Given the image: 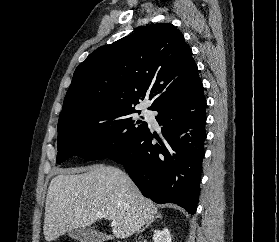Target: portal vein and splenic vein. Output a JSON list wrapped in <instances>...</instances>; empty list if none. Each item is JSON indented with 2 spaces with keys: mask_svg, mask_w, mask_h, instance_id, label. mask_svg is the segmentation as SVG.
<instances>
[{
  "mask_svg": "<svg viewBox=\"0 0 279 242\" xmlns=\"http://www.w3.org/2000/svg\"><path fill=\"white\" fill-rule=\"evenodd\" d=\"M97 217L100 218V219H102V218H104V215H103L102 213H98V214H97ZM111 225H112V226H115V225H116V221L113 220V221L111 222Z\"/></svg>",
  "mask_w": 279,
  "mask_h": 242,
  "instance_id": "1",
  "label": "portal vein and splenic vein"
}]
</instances>
